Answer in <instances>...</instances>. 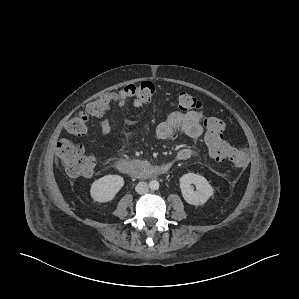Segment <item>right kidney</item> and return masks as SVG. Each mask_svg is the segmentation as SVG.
Here are the masks:
<instances>
[{
    "instance_id": "obj_1",
    "label": "right kidney",
    "mask_w": 299,
    "mask_h": 299,
    "mask_svg": "<svg viewBox=\"0 0 299 299\" xmlns=\"http://www.w3.org/2000/svg\"><path fill=\"white\" fill-rule=\"evenodd\" d=\"M124 186V179L119 175H106L93 182L90 195L96 202H109Z\"/></svg>"
}]
</instances>
